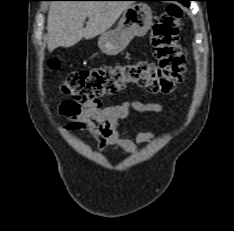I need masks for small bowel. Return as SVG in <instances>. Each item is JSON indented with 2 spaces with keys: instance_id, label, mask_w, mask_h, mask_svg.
Returning a JSON list of instances; mask_svg holds the SVG:
<instances>
[{
  "instance_id": "c3829d8e",
  "label": "small bowel",
  "mask_w": 234,
  "mask_h": 231,
  "mask_svg": "<svg viewBox=\"0 0 234 231\" xmlns=\"http://www.w3.org/2000/svg\"><path fill=\"white\" fill-rule=\"evenodd\" d=\"M163 106L158 102L126 101L117 105H103L99 100L85 104L79 112L71 114L64 125L68 132H88L97 142L100 151L118 148L126 153L135 152L140 145L151 142L154 132H141L136 140L123 139L119 135V122L131 112L138 114L160 113Z\"/></svg>"
}]
</instances>
